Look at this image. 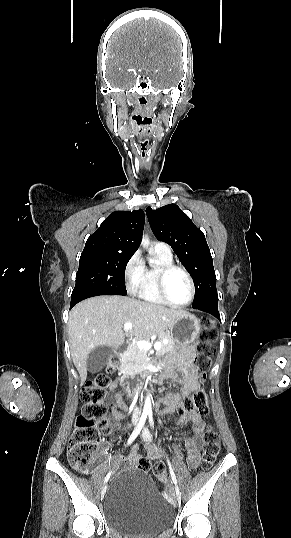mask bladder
Instances as JSON below:
<instances>
[{
  "label": "bladder",
  "mask_w": 291,
  "mask_h": 538,
  "mask_svg": "<svg viewBox=\"0 0 291 538\" xmlns=\"http://www.w3.org/2000/svg\"><path fill=\"white\" fill-rule=\"evenodd\" d=\"M102 502L105 522L130 535L156 534L169 527L175 518L172 506L139 471L115 473Z\"/></svg>",
  "instance_id": "obj_1"
}]
</instances>
